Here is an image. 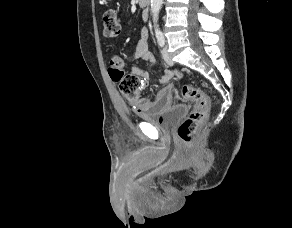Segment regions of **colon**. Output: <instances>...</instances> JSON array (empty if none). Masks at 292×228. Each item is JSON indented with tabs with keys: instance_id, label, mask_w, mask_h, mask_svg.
<instances>
[{
	"instance_id": "1",
	"label": "colon",
	"mask_w": 292,
	"mask_h": 228,
	"mask_svg": "<svg viewBox=\"0 0 292 228\" xmlns=\"http://www.w3.org/2000/svg\"><path fill=\"white\" fill-rule=\"evenodd\" d=\"M103 32L107 37H117L121 32V23L115 11H106L103 15ZM109 75L117 83L120 92L130 101L139 97L141 83L135 75H125L122 70V59L114 57L110 61ZM182 96L185 100L194 103V108L188 117L178 127V136L186 143L191 144L197 129L207 120L211 100L201 89L193 86H184Z\"/></svg>"
}]
</instances>
